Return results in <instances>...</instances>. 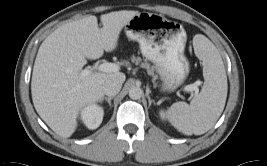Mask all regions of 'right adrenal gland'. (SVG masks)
Segmentation results:
<instances>
[{
	"instance_id": "right-adrenal-gland-1",
	"label": "right adrenal gland",
	"mask_w": 267,
	"mask_h": 166,
	"mask_svg": "<svg viewBox=\"0 0 267 166\" xmlns=\"http://www.w3.org/2000/svg\"><path fill=\"white\" fill-rule=\"evenodd\" d=\"M114 98V96H110V97H105L104 100L109 104V106L111 107V100Z\"/></svg>"
}]
</instances>
